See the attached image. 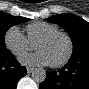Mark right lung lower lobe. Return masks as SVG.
I'll list each match as a JSON object with an SVG mask.
<instances>
[{
	"instance_id": "right-lung-lower-lobe-1",
	"label": "right lung lower lobe",
	"mask_w": 89,
	"mask_h": 89,
	"mask_svg": "<svg viewBox=\"0 0 89 89\" xmlns=\"http://www.w3.org/2000/svg\"><path fill=\"white\" fill-rule=\"evenodd\" d=\"M26 75L21 66L8 50L0 53V89H15L20 78Z\"/></svg>"
}]
</instances>
